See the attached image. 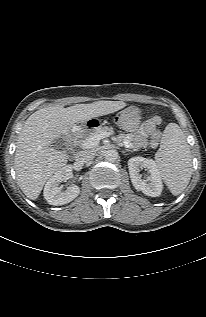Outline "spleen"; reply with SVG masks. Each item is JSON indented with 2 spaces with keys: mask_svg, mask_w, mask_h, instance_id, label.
I'll use <instances>...</instances> for the list:
<instances>
[{
  "mask_svg": "<svg viewBox=\"0 0 206 317\" xmlns=\"http://www.w3.org/2000/svg\"><path fill=\"white\" fill-rule=\"evenodd\" d=\"M155 163L171 193L181 194L192 175V157L186 137L176 123L166 126Z\"/></svg>",
  "mask_w": 206,
  "mask_h": 317,
  "instance_id": "obj_1",
  "label": "spleen"
}]
</instances>
